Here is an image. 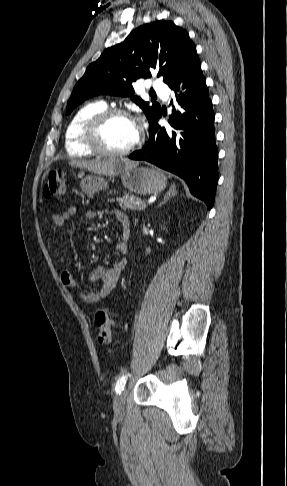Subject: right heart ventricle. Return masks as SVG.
<instances>
[{"instance_id":"obj_1","label":"right heart ventricle","mask_w":287,"mask_h":486,"mask_svg":"<svg viewBox=\"0 0 287 486\" xmlns=\"http://www.w3.org/2000/svg\"><path fill=\"white\" fill-rule=\"evenodd\" d=\"M106 109L103 101H92L81 106L70 119L65 131V149L71 157H90L94 153L83 142V128L87 120Z\"/></svg>"}]
</instances>
